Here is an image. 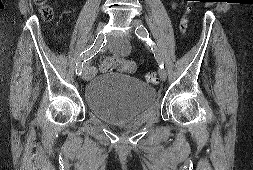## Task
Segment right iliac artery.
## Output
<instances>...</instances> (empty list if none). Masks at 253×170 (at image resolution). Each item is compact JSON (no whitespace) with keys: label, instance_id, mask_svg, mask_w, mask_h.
<instances>
[{"label":"right iliac artery","instance_id":"right-iliac-artery-1","mask_svg":"<svg viewBox=\"0 0 253 170\" xmlns=\"http://www.w3.org/2000/svg\"><path fill=\"white\" fill-rule=\"evenodd\" d=\"M102 38L97 35L92 46L87 48L84 52L81 53L80 59L76 64V74L79 76L83 71V64L94 57L103 47Z\"/></svg>","mask_w":253,"mask_h":170}]
</instances>
